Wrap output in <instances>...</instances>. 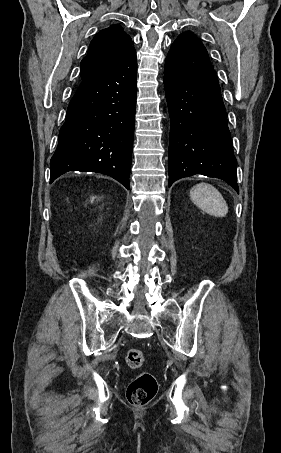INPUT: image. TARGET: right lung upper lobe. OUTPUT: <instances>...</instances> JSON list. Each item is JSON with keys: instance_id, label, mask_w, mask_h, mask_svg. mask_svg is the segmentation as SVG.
<instances>
[{"instance_id": "obj_1", "label": "right lung upper lobe", "mask_w": 281, "mask_h": 453, "mask_svg": "<svg viewBox=\"0 0 281 453\" xmlns=\"http://www.w3.org/2000/svg\"><path fill=\"white\" fill-rule=\"evenodd\" d=\"M131 37L118 25H111L96 34L86 57L81 61V79H91L110 72L135 53Z\"/></svg>"}]
</instances>
